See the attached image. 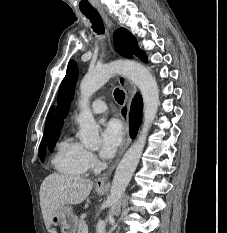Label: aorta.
<instances>
[{
	"label": "aorta",
	"instance_id": "762f6f07",
	"mask_svg": "<svg viewBox=\"0 0 227 233\" xmlns=\"http://www.w3.org/2000/svg\"><path fill=\"white\" fill-rule=\"evenodd\" d=\"M123 74L139 88L143 98L144 121L138 139L124 154L118 164L108 198L110 208L108 220L113 218L115 210L125 192L132 175L141 158L148 131L151 127L159 105V89L155 78L150 71L140 63L134 61H117L90 70L80 84V114L77 122L80 126L79 138L88 148H97L100 145L99 125L96 123L90 107V97L100 89L113 75Z\"/></svg>",
	"mask_w": 227,
	"mask_h": 233
}]
</instances>
